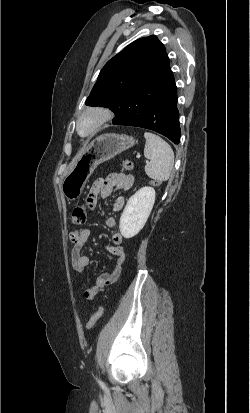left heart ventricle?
<instances>
[{
    "instance_id": "1",
    "label": "left heart ventricle",
    "mask_w": 250,
    "mask_h": 413,
    "mask_svg": "<svg viewBox=\"0 0 250 413\" xmlns=\"http://www.w3.org/2000/svg\"><path fill=\"white\" fill-rule=\"evenodd\" d=\"M93 124V119L92 118H85L82 122H81V132L82 133H86L89 131V129L91 128Z\"/></svg>"
}]
</instances>
